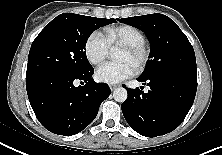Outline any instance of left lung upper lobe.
<instances>
[{
	"instance_id": "obj_1",
	"label": "left lung upper lobe",
	"mask_w": 222,
	"mask_h": 155,
	"mask_svg": "<svg viewBox=\"0 0 222 155\" xmlns=\"http://www.w3.org/2000/svg\"><path fill=\"white\" fill-rule=\"evenodd\" d=\"M118 21L140 29L150 41L149 60L142 77L177 73L197 78L194 49L186 35L169 17L155 13Z\"/></svg>"
}]
</instances>
